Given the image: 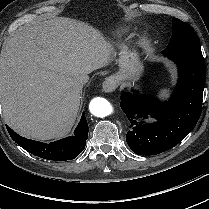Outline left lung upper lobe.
Returning a JSON list of instances; mask_svg holds the SVG:
<instances>
[{
	"instance_id": "1",
	"label": "left lung upper lobe",
	"mask_w": 209,
	"mask_h": 209,
	"mask_svg": "<svg viewBox=\"0 0 209 209\" xmlns=\"http://www.w3.org/2000/svg\"><path fill=\"white\" fill-rule=\"evenodd\" d=\"M198 45H200V42L192 27L189 24L174 18L173 34L167 48L162 51V54L172 53L177 50Z\"/></svg>"
}]
</instances>
